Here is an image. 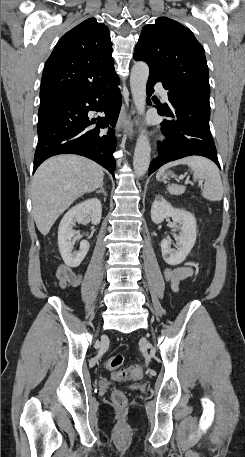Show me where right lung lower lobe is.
Instances as JSON below:
<instances>
[{"instance_id":"1","label":"right lung lower lobe","mask_w":245,"mask_h":457,"mask_svg":"<svg viewBox=\"0 0 245 457\" xmlns=\"http://www.w3.org/2000/svg\"><path fill=\"white\" fill-rule=\"evenodd\" d=\"M118 84L117 76L90 89L40 104L33 172L47 158L71 153L96 161L114 176L115 130L101 129L114 126L118 119L121 109ZM90 110L103 112L105 116L90 120ZM92 124L98 126L92 128Z\"/></svg>"}]
</instances>
